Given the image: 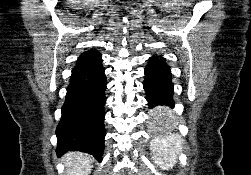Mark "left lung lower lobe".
I'll return each mask as SVG.
<instances>
[{
	"label": "left lung lower lobe",
	"mask_w": 251,
	"mask_h": 175,
	"mask_svg": "<svg viewBox=\"0 0 251 175\" xmlns=\"http://www.w3.org/2000/svg\"><path fill=\"white\" fill-rule=\"evenodd\" d=\"M171 79V70L165 58L162 56L149 58L143 85L149 109H153L149 115L152 121H162L171 115L169 107L174 106V86Z\"/></svg>",
	"instance_id": "0a47b994"
}]
</instances>
